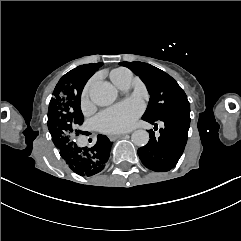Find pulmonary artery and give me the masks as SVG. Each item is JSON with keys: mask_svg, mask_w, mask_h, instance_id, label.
I'll use <instances>...</instances> for the list:
<instances>
[{"mask_svg": "<svg viewBox=\"0 0 241 241\" xmlns=\"http://www.w3.org/2000/svg\"><path fill=\"white\" fill-rule=\"evenodd\" d=\"M130 83H131V82H130ZM130 83L127 84L124 88H122V90H124V91H128V89L130 88Z\"/></svg>", "mask_w": 241, "mask_h": 241, "instance_id": "obj_1", "label": "pulmonary artery"}]
</instances>
